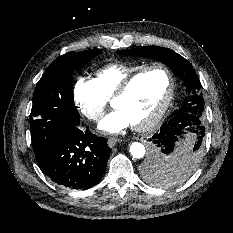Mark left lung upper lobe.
<instances>
[{"label": "left lung upper lobe", "mask_w": 233, "mask_h": 233, "mask_svg": "<svg viewBox=\"0 0 233 233\" xmlns=\"http://www.w3.org/2000/svg\"><path fill=\"white\" fill-rule=\"evenodd\" d=\"M116 53L124 56H142L159 60L169 66L175 76L183 77L187 93L181 107L175 110L169 119H176L183 124L198 121L202 124L200 119L204 111V100L200 93L201 84L192 65L185 58L171 49L158 46L137 47L126 51L118 50ZM197 161L190 158L176 165L174 161L164 160V164L170 168L179 167L177 173L181 178H184L193 170Z\"/></svg>", "instance_id": "left-lung-upper-lobe-1"}]
</instances>
